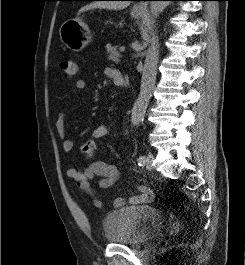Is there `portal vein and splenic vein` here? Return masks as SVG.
I'll list each match as a JSON object with an SVG mask.
<instances>
[{
    "label": "portal vein and splenic vein",
    "instance_id": "18ae733b",
    "mask_svg": "<svg viewBox=\"0 0 245 265\" xmlns=\"http://www.w3.org/2000/svg\"><path fill=\"white\" fill-rule=\"evenodd\" d=\"M120 51L124 52L125 51V47L124 46L120 47Z\"/></svg>",
    "mask_w": 245,
    "mask_h": 265
}]
</instances>
